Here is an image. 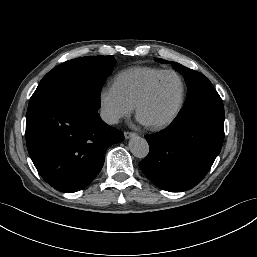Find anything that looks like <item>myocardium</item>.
Returning a JSON list of instances; mask_svg holds the SVG:
<instances>
[{
	"instance_id": "f54148a6",
	"label": "myocardium",
	"mask_w": 257,
	"mask_h": 257,
	"mask_svg": "<svg viewBox=\"0 0 257 257\" xmlns=\"http://www.w3.org/2000/svg\"><path fill=\"white\" fill-rule=\"evenodd\" d=\"M165 75H173L178 79V81L180 83V87H181V92H180V97H179L178 103H177L174 111L168 118H166L163 121L157 122V123H147L148 126L154 130H160V129H164V128L170 126L179 117V115L183 109L185 99H186V84H185L183 77L174 70H164L161 73L157 74L155 77H153L148 82V84L146 85V87L144 88L142 93L139 95V97L135 103V109H136L137 115L139 116L141 106L151 95L156 83Z\"/></svg>"
}]
</instances>
